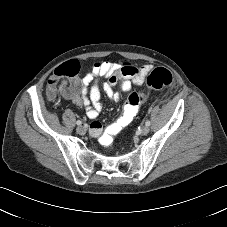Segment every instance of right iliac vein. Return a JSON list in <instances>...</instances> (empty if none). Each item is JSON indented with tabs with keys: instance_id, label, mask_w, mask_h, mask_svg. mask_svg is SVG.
Returning a JSON list of instances; mask_svg holds the SVG:
<instances>
[{
	"instance_id": "63e3f726",
	"label": "right iliac vein",
	"mask_w": 227,
	"mask_h": 227,
	"mask_svg": "<svg viewBox=\"0 0 227 227\" xmlns=\"http://www.w3.org/2000/svg\"><path fill=\"white\" fill-rule=\"evenodd\" d=\"M76 132L79 135H83L85 133V128L83 126H79V127L76 128Z\"/></svg>"
}]
</instances>
